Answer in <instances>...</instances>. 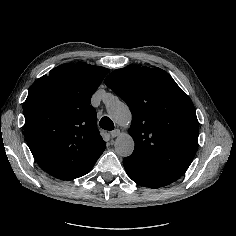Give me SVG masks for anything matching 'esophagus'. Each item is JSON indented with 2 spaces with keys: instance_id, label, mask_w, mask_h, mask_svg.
Listing matches in <instances>:
<instances>
[{
  "instance_id": "1",
  "label": "esophagus",
  "mask_w": 236,
  "mask_h": 236,
  "mask_svg": "<svg viewBox=\"0 0 236 236\" xmlns=\"http://www.w3.org/2000/svg\"><path fill=\"white\" fill-rule=\"evenodd\" d=\"M120 134V130L119 129H115L111 132V137L112 138H116L117 136H119Z\"/></svg>"
}]
</instances>
